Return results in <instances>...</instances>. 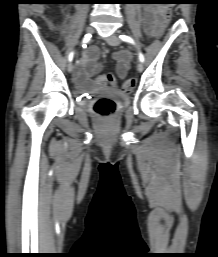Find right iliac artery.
<instances>
[{"label": "right iliac artery", "instance_id": "right-iliac-artery-1", "mask_svg": "<svg viewBox=\"0 0 218 257\" xmlns=\"http://www.w3.org/2000/svg\"><path fill=\"white\" fill-rule=\"evenodd\" d=\"M90 39H91V34H86L85 37L83 38L82 43L86 44L90 41ZM73 56H74V52H71L68 56V59H69L70 62L72 61Z\"/></svg>", "mask_w": 218, "mask_h": 257}]
</instances>
